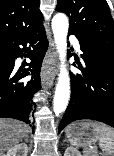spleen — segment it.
Listing matches in <instances>:
<instances>
[{"label":"spleen","instance_id":"spleen-1","mask_svg":"<svg viewBox=\"0 0 114 156\" xmlns=\"http://www.w3.org/2000/svg\"><path fill=\"white\" fill-rule=\"evenodd\" d=\"M86 127H92L99 136V147L103 151V156H114V129L104 123L95 121H85ZM84 156H96L92 149H85Z\"/></svg>","mask_w":114,"mask_h":156}]
</instances>
